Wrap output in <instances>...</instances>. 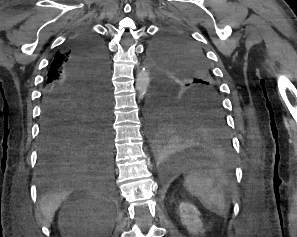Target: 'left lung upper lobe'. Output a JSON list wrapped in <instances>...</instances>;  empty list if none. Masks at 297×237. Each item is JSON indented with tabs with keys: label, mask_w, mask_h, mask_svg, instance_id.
Instances as JSON below:
<instances>
[{
	"label": "left lung upper lobe",
	"mask_w": 297,
	"mask_h": 237,
	"mask_svg": "<svg viewBox=\"0 0 297 237\" xmlns=\"http://www.w3.org/2000/svg\"><path fill=\"white\" fill-rule=\"evenodd\" d=\"M155 94H166L181 104L212 100L221 105L206 58L189 37L163 32L149 49Z\"/></svg>",
	"instance_id": "5c2ea615"
}]
</instances>
